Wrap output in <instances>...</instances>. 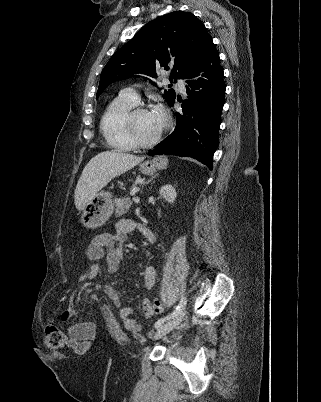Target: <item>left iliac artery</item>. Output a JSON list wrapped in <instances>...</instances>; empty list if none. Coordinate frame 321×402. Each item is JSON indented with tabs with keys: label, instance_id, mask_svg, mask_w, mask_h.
<instances>
[{
	"label": "left iliac artery",
	"instance_id": "obj_1",
	"mask_svg": "<svg viewBox=\"0 0 321 402\" xmlns=\"http://www.w3.org/2000/svg\"><path fill=\"white\" fill-rule=\"evenodd\" d=\"M186 302H187V301H186V297H185V296H182V297H181V300H180V303H179V305L176 307V309H175L171 314H169L168 316L159 319V320L155 323L154 327H155L156 329H159V328L164 324L165 321L170 320V319L176 317V316L184 309V307L186 306Z\"/></svg>",
	"mask_w": 321,
	"mask_h": 402
}]
</instances>
